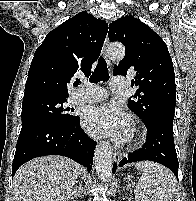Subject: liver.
<instances>
[{
	"instance_id": "1",
	"label": "liver",
	"mask_w": 196,
	"mask_h": 201,
	"mask_svg": "<svg viewBox=\"0 0 196 201\" xmlns=\"http://www.w3.org/2000/svg\"><path fill=\"white\" fill-rule=\"evenodd\" d=\"M80 171L62 156H43L22 165L13 178V201H68Z\"/></svg>"
}]
</instances>
